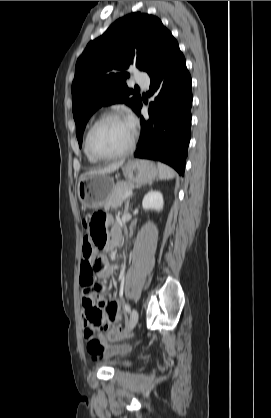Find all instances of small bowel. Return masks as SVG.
<instances>
[{
	"instance_id": "1",
	"label": "small bowel",
	"mask_w": 271,
	"mask_h": 418,
	"mask_svg": "<svg viewBox=\"0 0 271 418\" xmlns=\"http://www.w3.org/2000/svg\"><path fill=\"white\" fill-rule=\"evenodd\" d=\"M117 228L114 227L113 232ZM80 277L79 282L82 288L81 303L83 309L82 323L84 327V335L88 340V352L93 358L106 357L113 352L123 350V347L109 348L108 343L119 337L121 330L113 326L121 318L119 305L112 297L105 298L103 295L97 292H103V283H95L94 276H98L102 280L108 279L112 272L113 267L106 263L104 257H97L95 255V245L89 244V239L83 237L80 239ZM89 267V271H88ZM95 309L100 312L102 321L107 325L104 333L100 334L99 342L101 348L98 350L92 349L89 346L90 338L87 335V330L91 327L90 320L87 316L88 310ZM113 326L112 328H109Z\"/></svg>"
}]
</instances>
